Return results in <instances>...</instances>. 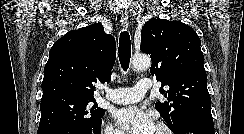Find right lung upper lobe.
Masks as SVG:
<instances>
[{
	"label": "right lung upper lobe",
	"instance_id": "right-lung-upper-lobe-1",
	"mask_svg": "<svg viewBox=\"0 0 244 134\" xmlns=\"http://www.w3.org/2000/svg\"><path fill=\"white\" fill-rule=\"evenodd\" d=\"M115 59V39L101 24L68 32L50 49L41 101L54 97L94 101L93 84L110 81Z\"/></svg>",
	"mask_w": 244,
	"mask_h": 134
}]
</instances>
